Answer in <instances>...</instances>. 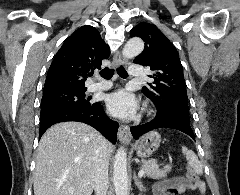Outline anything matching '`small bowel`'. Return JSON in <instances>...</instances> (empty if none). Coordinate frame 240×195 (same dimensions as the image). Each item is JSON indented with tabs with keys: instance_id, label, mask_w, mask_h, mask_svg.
Wrapping results in <instances>:
<instances>
[{
	"instance_id": "1",
	"label": "small bowel",
	"mask_w": 240,
	"mask_h": 195,
	"mask_svg": "<svg viewBox=\"0 0 240 195\" xmlns=\"http://www.w3.org/2000/svg\"><path fill=\"white\" fill-rule=\"evenodd\" d=\"M187 191H198L205 194V186H193L188 177H173L163 179L153 186V195H183Z\"/></svg>"
}]
</instances>
